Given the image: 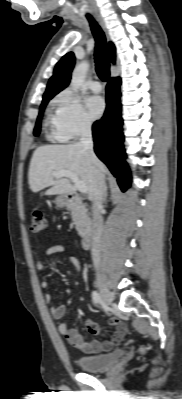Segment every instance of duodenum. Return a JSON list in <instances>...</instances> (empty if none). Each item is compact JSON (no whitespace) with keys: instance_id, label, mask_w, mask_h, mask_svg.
Masks as SVG:
<instances>
[{"instance_id":"410a0bca","label":"duodenum","mask_w":182,"mask_h":399,"mask_svg":"<svg viewBox=\"0 0 182 399\" xmlns=\"http://www.w3.org/2000/svg\"><path fill=\"white\" fill-rule=\"evenodd\" d=\"M77 202H79V200L74 194H68L66 196V203L68 206H71ZM92 244H93V231L91 229H88L84 232L82 236V246L84 248H90Z\"/></svg>"}]
</instances>
